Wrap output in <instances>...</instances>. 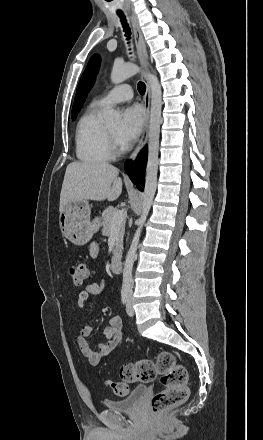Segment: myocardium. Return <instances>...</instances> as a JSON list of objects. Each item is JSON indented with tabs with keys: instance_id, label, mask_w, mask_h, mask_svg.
<instances>
[{
	"instance_id": "myocardium-1",
	"label": "myocardium",
	"mask_w": 263,
	"mask_h": 440,
	"mask_svg": "<svg viewBox=\"0 0 263 440\" xmlns=\"http://www.w3.org/2000/svg\"><path fill=\"white\" fill-rule=\"evenodd\" d=\"M106 132H107L111 152L114 154L120 153L121 147L116 136L110 131L108 127H106Z\"/></svg>"
}]
</instances>
